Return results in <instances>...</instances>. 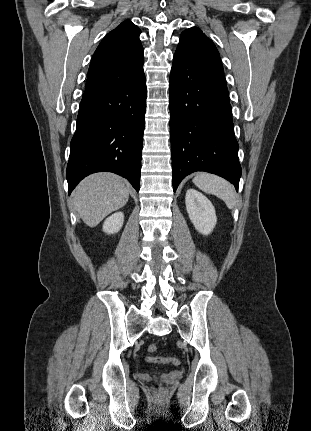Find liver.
<instances>
[{
    "label": "liver",
    "instance_id": "1",
    "mask_svg": "<svg viewBox=\"0 0 311 431\" xmlns=\"http://www.w3.org/2000/svg\"><path fill=\"white\" fill-rule=\"evenodd\" d=\"M128 200L126 180L108 172L92 174L82 180L73 196L75 210L89 227H95L108 214L123 208Z\"/></svg>",
    "mask_w": 311,
    "mask_h": 431
}]
</instances>
